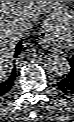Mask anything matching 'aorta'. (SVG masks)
Instances as JSON below:
<instances>
[{"label": "aorta", "instance_id": "obj_1", "mask_svg": "<svg viewBox=\"0 0 74 122\" xmlns=\"http://www.w3.org/2000/svg\"><path fill=\"white\" fill-rule=\"evenodd\" d=\"M47 69L54 75L62 76L70 72V64L65 57L50 55L46 59Z\"/></svg>", "mask_w": 74, "mask_h": 122}]
</instances>
